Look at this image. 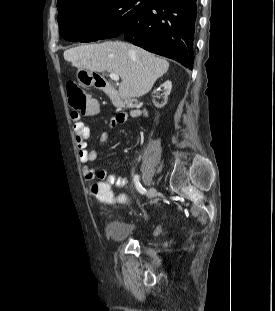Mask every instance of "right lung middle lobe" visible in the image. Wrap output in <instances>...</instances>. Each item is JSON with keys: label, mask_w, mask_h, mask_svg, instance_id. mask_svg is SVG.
Here are the masks:
<instances>
[{"label": "right lung middle lobe", "mask_w": 275, "mask_h": 311, "mask_svg": "<svg viewBox=\"0 0 275 311\" xmlns=\"http://www.w3.org/2000/svg\"><path fill=\"white\" fill-rule=\"evenodd\" d=\"M156 0H71L58 8L59 31L69 41L120 35L129 22Z\"/></svg>", "instance_id": "dd1d6c3e"}]
</instances>
